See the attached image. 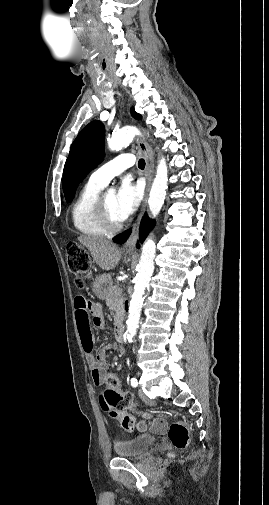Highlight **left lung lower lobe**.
I'll use <instances>...</instances> for the list:
<instances>
[{"mask_svg":"<svg viewBox=\"0 0 269 505\" xmlns=\"http://www.w3.org/2000/svg\"><path fill=\"white\" fill-rule=\"evenodd\" d=\"M153 225H154V222L152 220H150L147 215H145L143 217V219L141 221V225H140L139 238H140L141 243L145 240L149 230L153 227ZM130 233H131V230H128V231L122 233L121 235H119L117 238L114 239V242L119 243V244L124 243L127 240V238L129 237ZM137 247H139V244H137Z\"/></svg>","mask_w":269,"mask_h":505,"instance_id":"left-lung-lower-lobe-1","label":"left lung lower lobe"}]
</instances>
